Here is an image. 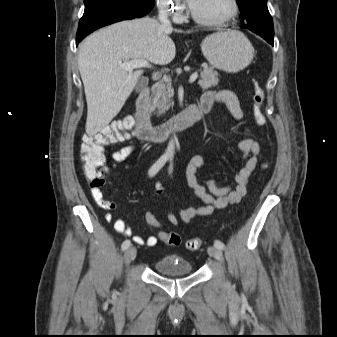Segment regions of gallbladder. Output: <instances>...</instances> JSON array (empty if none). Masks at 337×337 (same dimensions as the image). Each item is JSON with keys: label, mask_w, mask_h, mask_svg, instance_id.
Masks as SVG:
<instances>
[{"label": "gallbladder", "mask_w": 337, "mask_h": 337, "mask_svg": "<svg viewBox=\"0 0 337 337\" xmlns=\"http://www.w3.org/2000/svg\"><path fill=\"white\" fill-rule=\"evenodd\" d=\"M142 88H143V86H142L141 84H138L137 87H136V90H137V91H141Z\"/></svg>", "instance_id": "gallbladder-1"}]
</instances>
